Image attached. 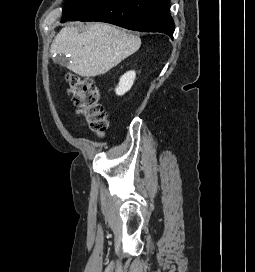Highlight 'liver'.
Here are the masks:
<instances>
[{
    "label": "liver",
    "mask_w": 255,
    "mask_h": 272,
    "mask_svg": "<svg viewBox=\"0 0 255 272\" xmlns=\"http://www.w3.org/2000/svg\"><path fill=\"white\" fill-rule=\"evenodd\" d=\"M140 45L137 35L106 23H94L87 29L74 26L61 29L50 51L65 56L69 61L67 68L74 73L95 77L135 53Z\"/></svg>",
    "instance_id": "liver-1"
}]
</instances>
